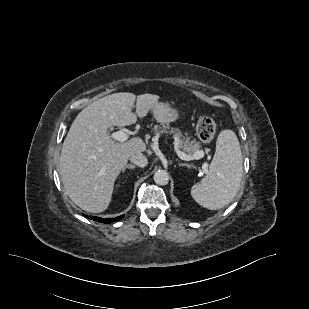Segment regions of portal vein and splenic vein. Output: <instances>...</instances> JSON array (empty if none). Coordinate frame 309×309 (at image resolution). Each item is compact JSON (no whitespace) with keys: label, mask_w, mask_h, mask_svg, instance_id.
Returning a JSON list of instances; mask_svg holds the SVG:
<instances>
[{"label":"portal vein and splenic vein","mask_w":309,"mask_h":309,"mask_svg":"<svg viewBox=\"0 0 309 309\" xmlns=\"http://www.w3.org/2000/svg\"><path fill=\"white\" fill-rule=\"evenodd\" d=\"M129 134L130 133L127 132V131L120 130V131H117V132H113L112 134L109 135V137L111 139H113L114 141L124 142L128 139ZM175 150H176L178 157L182 160H185V161L199 160L204 156V152L202 150L197 151L193 155H188V154L180 151L178 149V146L175 147ZM207 168H208V164L204 163L203 166H202V169L205 173L208 172Z\"/></svg>","instance_id":"18ae733b"}]
</instances>
